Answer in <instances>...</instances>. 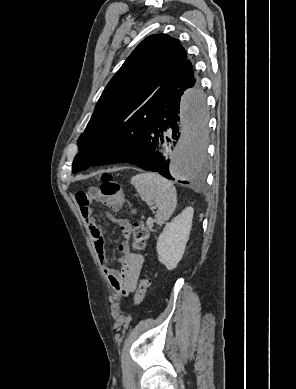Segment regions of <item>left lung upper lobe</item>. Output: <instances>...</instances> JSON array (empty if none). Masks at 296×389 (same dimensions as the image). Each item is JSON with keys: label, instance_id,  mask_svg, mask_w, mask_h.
<instances>
[{"label": "left lung upper lobe", "instance_id": "1", "mask_svg": "<svg viewBox=\"0 0 296 389\" xmlns=\"http://www.w3.org/2000/svg\"><path fill=\"white\" fill-rule=\"evenodd\" d=\"M196 75L179 41L165 34L143 40L126 59L104 89L95 111L78 139L80 153L72 172L98 165V148L133 113L152 101L154 93L167 80L182 74Z\"/></svg>", "mask_w": 296, "mask_h": 389}]
</instances>
